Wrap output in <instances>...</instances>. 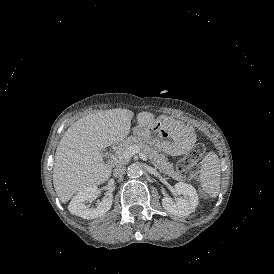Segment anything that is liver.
Here are the masks:
<instances>
[{"label": "liver", "instance_id": "obj_1", "mask_svg": "<svg viewBox=\"0 0 274 274\" xmlns=\"http://www.w3.org/2000/svg\"><path fill=\"white\" fill-rule=\"evenodd\" d=\"M133 115V111L123 108L95 111L67 129L56 148L52 176L61 203L66 204L78 191L110 178L112 166L102 161L100 151L129 135ZM154 119L152 112L137 113L138 127L134 132L139 134Z\"/></svg>", "mask_w": 274, "mask_h": 274}]
</instances>
